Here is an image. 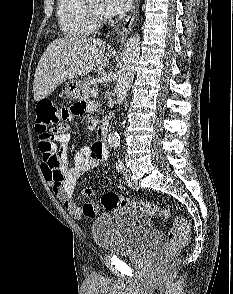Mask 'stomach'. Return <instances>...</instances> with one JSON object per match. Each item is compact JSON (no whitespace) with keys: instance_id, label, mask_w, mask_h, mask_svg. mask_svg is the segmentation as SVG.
Returning <instances> with one entry per match:
<instances>
[{"instance_id":"0dacf381","label":"stomach","mask_w":233,"mask_h":294,"mask_svg":"<svg viewBox=\"0 0 233 294\" xmlns=\"http://www.w3.org/2000/svg\"><path fill=\"white\" fill-rule=\"evenodd\" d=\"M82 83L77 79H69L65 85L66 97L71 100H78L81 96Z\"/></svg>"}]
</instances>
